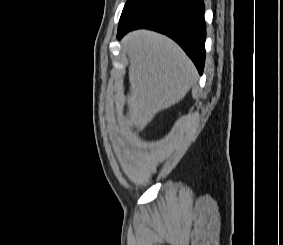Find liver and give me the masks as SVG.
<instances>
[{
	"mask_svg": "<svg viewBox=\"0 0 283 245\" xmlns=\"http://www.w3.org/2000/svg\"><path fill=\"white\" fill-rule=\"evenodd\" d=\"M123 48L129 57L130 93L122 128L143 130L154 116L180 102L198 79L197 70L171 39L148 30L126 35Z\"/></svg>",
	"mask_w": 283,
	"mask_h": 245,
	"instance_id": "1",
	"label": "liver"
}]
</instances>
